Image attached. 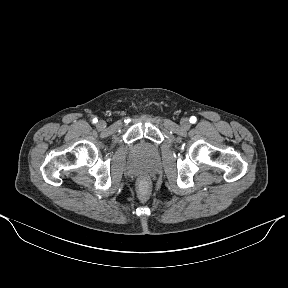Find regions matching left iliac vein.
Instances as JSON below:
<instances>
[{
  "label": "left iliac vein",
  "mask_w": 288,
  "mask_h": 288,
  "mask_svg": "<svg viewBox=\"0 0 288 288\" xmlns=\"http://www.w3.org/2000/svg\"><path fill=\"white\" fill-rule=\"evenodd\" d=\"M180 123L183 128H188L190 126L189 120L187 118H183Z\"/></svg>",
  "instance_id": "left-iliac-vein-1"
}]
</instances>
